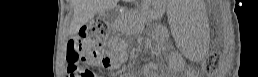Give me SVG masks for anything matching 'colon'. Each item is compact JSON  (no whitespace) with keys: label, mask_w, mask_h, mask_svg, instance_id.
Here are the masks:
<instances>
[{"label":"colon","mask_w":258,"mask_h":77,"mask_svg":"<svg viewBox=\"0 0 258 77\" xmlns=\"http://www.w3.org/2000/svg\"><path fill=\"white\" fill-rule=\"evenodd\" d=\"M108 29L101 20H95L81 28L79 40L83 49L78 43L72 42L67 49V72L71 77H85L80 68L82 51L89 48H98L105 45ZM219 66V56L216 53L208 55L202 62V68L207 74H214Z\"/></svg>","instance_id":"obj_1"}]
</instances>
